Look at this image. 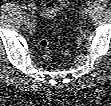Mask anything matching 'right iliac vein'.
Here are the masks:
<instances>
[{
  "label": "right iliac vein",
  "instance_id": "obj_1",
  "mask_svg": "<svg viewBox=\"0 0 111 106\" xmlns=\"http://www.w3.org/2000/svg\"><path fill=\"white\" fill-rule=\"evenodd\" d=\"M24 23L28 25L30 23V19H24Z\"/></svg>",
  "mask_w": 111,
  "mask_h": 106
}]
</instances>
